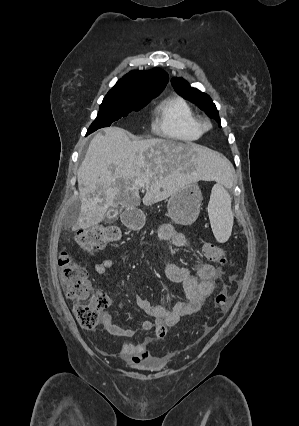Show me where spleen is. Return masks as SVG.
<instances>
[{"label": "spleen", "mask_w": 299, "mask_h": 426, "mask_svg": "<svg viewBox=\"0 0 299 426\" xmlns=\"http://www.w3.org/2000/svg\"><path fill=\"white\" fill-rule=\"evenodd\" d=\"M208 215L216 240L225 243L231 236L234 215L231 210V197L222 182L212 188Z\"/></svg>", "instance_id": "spleen-1"}]
</instances>
